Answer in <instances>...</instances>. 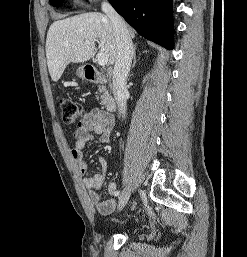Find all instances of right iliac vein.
Here are the masks:
<instances>
[{
	"label": "right iliac vein",
	"instance_id": "obj_1",
	"mask_svg": "<svg viewBox=\"0 0 247 257\" xmlns=\"http://www.w3.org/2000/svg\"><path fill=\"white\" fill-rule=\"evenodd\" d=\"M131 191L130 189H126L123 191V193L119 197V204H118V210L121 211L124 206L127 204L129 198H130Z\"/></svg>",
	"mask_w": 247,
	"mask_h": 257
}]
</instances>
